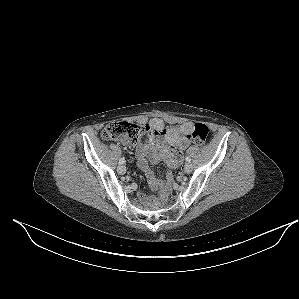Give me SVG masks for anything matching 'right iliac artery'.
Segmentation results:
<instances>
[{"instance_id":"1","label":"right iliac artery","mask_w":299,"mask_h":299,"mask_svg":"<svg viewBox=\"0 0 299 299\" xmlns=\"http://www.w3.org/2000/svg\"><path fill=\"white\" fill-rule=\"evenodd\" d=\"M125 162V158L122 157L120 160H119V164H123Z\"/></svg>"}]
</instances>
